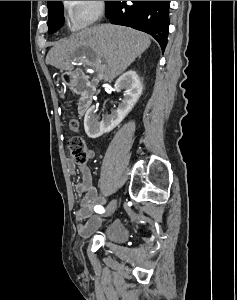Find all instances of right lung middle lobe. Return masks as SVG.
Masks as SVG:
<instances>
[{"instance_id":"right-lung-middle-lobe-1","label":"right lung middle lobe","mask_w":237,"mask_h":300,"mask_svg":"<svg viewBox=\"0 0 237 300\" xmlns=\"http://www.w3.org/2000/svg\"><path fill=\"white\" fill-rule=\"evenodd\" d=\"M48 33L59 30L64 23L62 1H48Z\"/></svg>"}]
</instances>
